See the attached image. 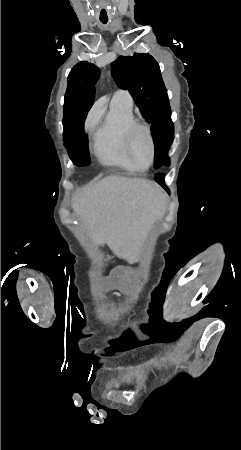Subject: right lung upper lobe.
<instances>
[{
  "mask_svg": "<svg viewBox=\"0 0 241 450\" xmlns=\"http://www.w3.org/2000/svg\"><path fill=\"white\" fill-rule=\"evenodd\" d=\"M78 74H92V75H100V70L93 64L88 62H80L76 64L71 72L69 73L68 78H72Z\"/></svg>",
  "mask_w": 241,
  "mask_h": 450,
  "instance_id": "obj_1",
  "label": "right lung upper lobe"
}]
</instances>
